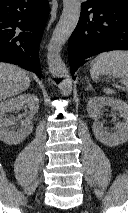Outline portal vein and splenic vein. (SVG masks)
<instances>
[{
	"mask_svg": "<svg viewBox=\"0 0 128 213\" xmlns=\"http://www.w3.org/2000/svg\"><path fill=\"white\" fill-rule=\"evenodd\" d=\"M125 88H128V86H127V85H125Z\"/></svg>",
	"mask_w": 128,
	"mask_h": 213,
	"instance_id": "obj_1",
	"label": "portal vein and splenic vein"
}]
</instances>
